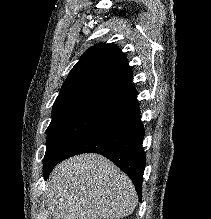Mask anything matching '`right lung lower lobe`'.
Wrapping results in <instances>:
<instances>
[{
    "label": "right lung lower lobe",
    "instance_id": "obj_1",
    "mask_svg": "<svg viewBox=\"0 0 211 219\" xmlns=\"http://www.w3.org/2000/svg\"><path fill=\"white\" fill-rule=\"evenodd\" d=\"M137 97L118 107L76 141L58 161L81 153H99L112 160L134 183L141 201L146 155Z\"/></svg>",
    "mask_w": 211,
    "mask_h": 219
}]
</instances>
